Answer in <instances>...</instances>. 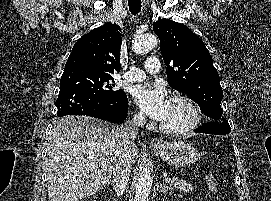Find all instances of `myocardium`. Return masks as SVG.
<instances>
[{"label":"myocardium","mask_w":271,"mask_h":201,"mask_svg":"<svg viewBox=\"0 0 271 201\" xmlns=\"http://www.w3.org/2000/svg\"><path fill=\"white\" fill-rule=\"evenodd\" d=\"M170 101H178L183 103L189 109L191 119L186 125L177 128L167 127L163 123H160L159 127L163 133L169 135H184L192 132L200 125L202 121V111L196 101H194L188 95L182 93H174L170 97Z\"/></svg>","instance_id":"f54148a6"}]
</instances>
